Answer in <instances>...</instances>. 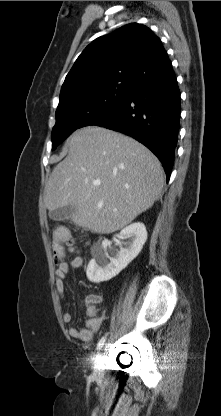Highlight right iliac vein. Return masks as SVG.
<instances>
[{
    "label": "right iliac vein",
    "instance_id": "obj_1",
    "mask_svg": "<svg viewBox=\"0 0 221 416\" xmlns=\"http://www.w3.org/2000/svg\"><path fill=\"white\" fill-rule=\"evenodd\" d=\"M99 366H100V363L97 362L96 365H95L96 370H99Z\"/></svg>",
    "mask_w": 221,
    "mask_h": 416
}]
</instances>
